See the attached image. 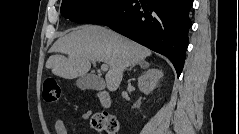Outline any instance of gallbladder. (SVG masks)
Segmentation results:
<instances>
[{
  "instance_id": "gallbladder-1",
  "label": "gallbladder",
  "mask_w": 239,
  "mask_h": 134,
  "mask_svg": "<svg viewBox=\"0 0 239 134\" xmlns=\"http://www.w3.org/2000/svg\"><path fill=\"white\" fill-rule=\"evenodd\" d=\"M76 85L81 89L101 90L104 88L102 80L91 74H86L79 77V79L76 81Z\"/></svg>"
}]
</instances>
